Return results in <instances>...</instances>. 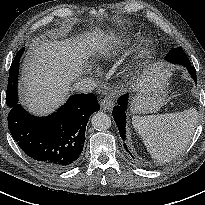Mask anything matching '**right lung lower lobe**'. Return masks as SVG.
<instances>
[{"label":"right lung lower lobe","instance_id":"right-lung-lower-lobe-1","mask_svg":"<svg viewBox=\"0 0 205 205\" xmlns=\"http://www.w3.org/2000/svg\"><path fill=\"white\" fill-rule=\"evenodd\" d=\"M100 106L94 94L72 95L55 113L36 117L20 105L10 108L8 127L19 147L47 170L72 167L80 156L90 115Z\"/></svg>","mask_w":205,"mask_h":205}]
</instances>
